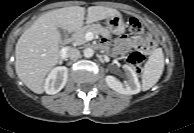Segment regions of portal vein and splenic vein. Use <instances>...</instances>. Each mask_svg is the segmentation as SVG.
Wrapping results in <instances>:
<instances>
[{
	"label": "portal vein and splenic vein",
	"mask_w": 194,
	"mask_h": 133,
	"mask_svg": "<svg viewBox=\"0 0 194 133\" xmlns=\"http://www.w3.org/2000/svg\"><path fill=\"white\" fill-rule=\"evenodd\" d=\"M92 36H93V34H92L91 32H88V33L86 34V37H87V38H90V39H91Z\"/></svg>",
	"instance_id": "18ae733b"
}]
</instances>
